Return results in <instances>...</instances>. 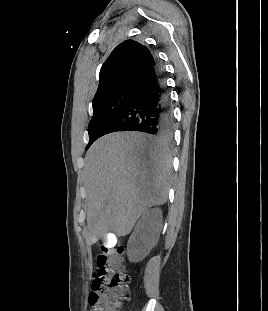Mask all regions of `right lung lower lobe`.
Masks as SVG:
<instances>
[{"mask_svg":"<svg viewBox=\"0 0 268 311\" xmlns=\"http://www.w3.org/2000/svg\"><path fill=\"white\" fill-rule=\"evenodd\" d=\"M173 124L163 72L155 60V65L136 83L129 102L106 128L104 135L117 131H140L169 141Z\"/></svg>","mask_w":268,"mask_h":311,"instance_id":"right-lung-lower-lobe-1","label":"right lung lower lobe"}]
</instances>
